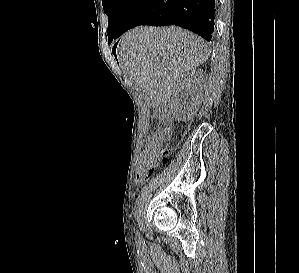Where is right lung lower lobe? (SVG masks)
Returning <instances> with one entry per match:
<instances>
[{
	"mask_svg": "<svg viewBox=\"0 0 299 273\" xmlns=\"http://www.w3.org/2000/svg\"><path fill=\"white\" fill-rule=\"evenodd\" d=\"M215 13L216 0H134L114 39L139 25H176L210 41Z\"/></svg>",
	"mask_w": 299,
	"mask_h": 273,
	"instance_id": "obj_1",
	"label": "right lung lower lobe"
}]
</instances>
